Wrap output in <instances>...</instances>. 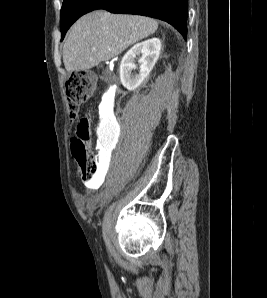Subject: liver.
Listing matches in <instances>:
<instances>
[{
    "instance_id": "1",
    "label": "liver",
    "mask_w": 267,
    "mask_h": 298,
    "mask_svg": "<svg viewBox=\"0 0 267 298\" xmlns=\"http://www.w3.org/2000/svg\"><path fill=\"white\" fill-rule=\"evenodd\" d=\"M157 29V21L149 17L104 10L88 13L72 26L64 44L65 68L68 72L89 70L121 54Z\"/></svg>"
}]
</instances>
